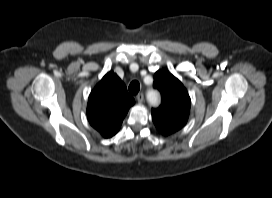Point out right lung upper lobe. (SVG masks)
<instances>
[{
    "label": "right lung upper lobe",
    "mask_w": 272,
    "mask_h": 198,
    "mask_svg": "<svg viewBox=\"0 0 272 198\" xmlns=\"http://www.w3.org/2000/svg\"><path fill=\"white\" fill-rule=\"evenodd\" d=\"M134 103L120 78L114 72H108L90 93L87 105L89 123L103 137H112Z\"/></svg>",
    "instance_id": "obj_1"
}]
</instances>
